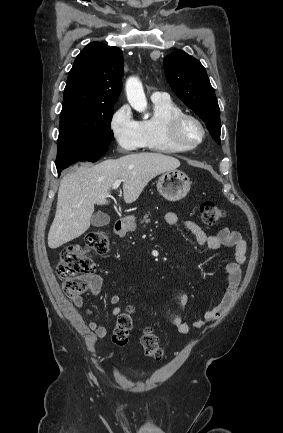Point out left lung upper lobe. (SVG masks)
Segmentation results:
<instances>
[{
	"label": "left lung upper lobe",
	"mask_w": 283,
	"mask_h": 433,
	"mask_svg": "<svg viewBox=\"0 0 283 433\" xmlns=\"http://www.w3.org/2000/svg\"><path fill=\"white\" fill-rule=\"evenodd\" d=\"M163 64L171 89L207 122L213 139L221 143L220 109L205 68L197 59L181 50L167 55Z\"/></svg>",
	"instance_id": "5c2ea615"
}]
</instances>
